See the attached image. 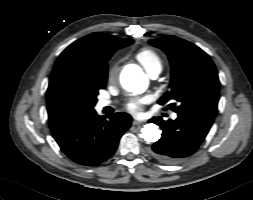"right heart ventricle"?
<instances>
[{
    "label": "right heart ventricle",
    "mask_w": 253,
    "mask_h": 200,
    "mask_svg": "<svg viewBox=\"0 0 253 200\" xmlns=\"http://www.w3.org/2000/svg\"><path fill=\"white\" fill-rule=\"evenodd\" d=\"M137 60L150 74L153 72H161L163 68V61L160 55L150 48H143L136 54Z\"/></svg>",
    "instance_id": "right-heart-ventricle-1"
}]
</instances>
